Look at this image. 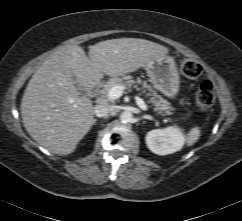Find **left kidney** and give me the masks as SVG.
<instances>
[{
    "label": "left kidney",
    "mask_w": 242,
    "mask_h": 221,
    "mask_svg": "<svg viewBox=\"0 0 242 221\" xmlns=\"http://www.w3.org/2000/svg\"><path fill=\"white\" fill-rule=\"evenodd\" d=\"M185 137L177 126L154 129L147 133V147L155 154L167 155L179 151L184 145Z\"/></svg>",
    "instance_id": "left-kidney-1"
}]
</instances>
